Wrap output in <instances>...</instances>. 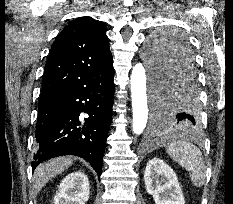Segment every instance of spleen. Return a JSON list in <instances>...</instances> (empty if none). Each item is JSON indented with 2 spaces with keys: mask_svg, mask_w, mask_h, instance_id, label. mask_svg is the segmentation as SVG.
<instances>
[{
  "mask_svg": "<svg viewBox=\"0 0 233 204\" xmlns=\"http://www.w3.org/2000/svg\"><path fill=\"white\" fill-rule=\"evenodd\" d=\"M167 154L181 167L190 172L191 183L201 187L206 182V166L200 149L186 140L174 141L167 145Z\"/></svg>",
  "mask_w": 233,
  "mask_h": 204,
  "instance_id": "1",
  "label": "spleen"
}]
</instances>
